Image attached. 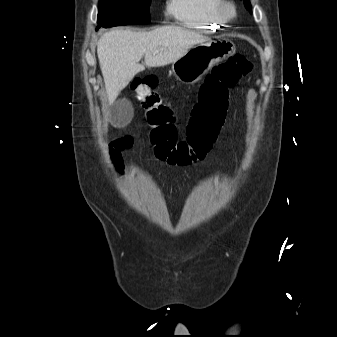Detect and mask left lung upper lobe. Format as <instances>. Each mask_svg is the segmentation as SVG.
I'll list each match as a JSON object with an SVG mask.
<instances>
[{
    "instance_id": "obj_1",
    "label": "left lung upper lobe",
    "mask_w": 337,
    "mask_h": 337,
    "mask_svg": "<svg viewBox=\"0 0 337 337\" xmlns=\"http://www.w3.org/2000/svg\"><path fill=\"white\" fill-rule=\"evenodd\" d=\"M244 5H245L247 10H251L250 0H244Z\"/></svg>"
}]
</instances>
